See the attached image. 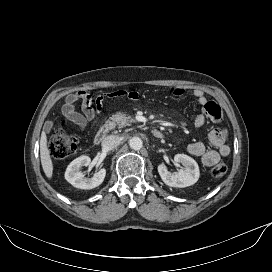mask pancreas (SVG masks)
I'll return each instance as SVG.
<instances>
[{"instance_id": "obj_1", "label": "pancreas", "mask_w": 272, "mask_h": 272, "mask_svg": "<svg viewBox=\"0 0 272 272\" xmlns=\"http://www.w3.org/2000/svg\"><path fill=\"white\" fill-rule=\"evenodd\" d=\"M110 119L113 125L114 126L117 125L119 128H123L125 126L130 125V123L135 122V120L131 118V116H127L126 114L120 112L112 115Z\"/></svg>"}]
</instances>
